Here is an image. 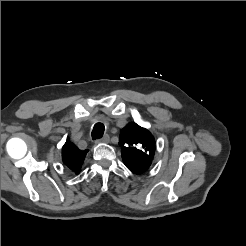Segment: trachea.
Listing matches in <instances>:
<instances>
[{
  "label": "trachea",
  "instance_id": "3493384b",
  "mask_svg": "<svg viewBox=\"0 0 246 246\" xmlns=\"http://www.w3.org/2000/svg\"><path fill=\"white\" fill-rule=\"evenodd\" d=\"M104 124L101 122H98L94 125L93 131H92V139L96 140L103 136L104 134Z\"/></svg>",
  "mask_w": 246,
  "mask_h": 246
}]
</instances>
